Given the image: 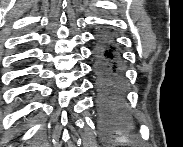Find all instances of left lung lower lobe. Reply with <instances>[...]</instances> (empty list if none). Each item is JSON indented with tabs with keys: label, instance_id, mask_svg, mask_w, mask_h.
<instances>
[{
	"label": "left lung lower lobe",
	"instance_id": "left-lung-lower-lobe-1",
	"mask_svg": "<svg viewBox=\"0 0 183 147\" xmlns=\"http://www.w3.org/2000/svg\"><path fill=\"white\" fill-rule=\"evenodd\" d=\"M97 112L104 135L128 132L131 124L122 105V73L115 47L106 35L100 36L95 53Z\"/></svg>",
	"mask_w": 183,
	"mask_h": 147
}]
</instances>
